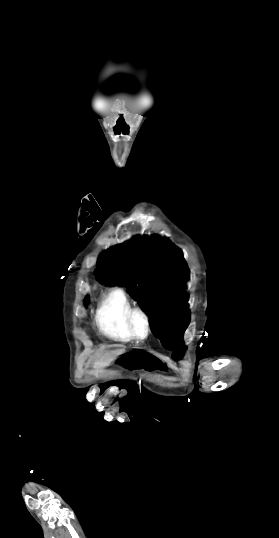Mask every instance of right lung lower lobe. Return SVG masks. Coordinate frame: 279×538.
I'll return each instance as SVG.
<instances>
[{"mask_svg": "<svg viewBox=\"0 0 279 538\" xmlns=\"http://www.w3.org/2000/svg\"><path fill=\"white\" fill-rule=\"evenodd\" d=\"M84 304L87 306V304H88V296L85 298Z\"/></svg>", "mask_w": 279, "mask_h": 538, "instance_id": "98d812e1", "label": "right lung lower lobe"}]
</instances>
